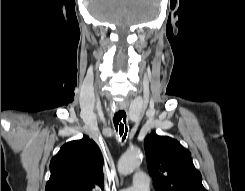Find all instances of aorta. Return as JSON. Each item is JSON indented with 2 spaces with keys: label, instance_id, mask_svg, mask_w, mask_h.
Wrapping results in <instances>:
<instances>
[{
  "label": "aorta",
  "instance_id": "aorta-1",
  "mask_svg": "<svg viewBox=\"0 0 245 191\" xmlns=\"http://www.w3.org/2000/svg\"><path fill=\"white\" fill-rule=\"evenodd\" d=\"M141 159L142 151L139 148L128 150L118 161V172L121 175L131 174L140 165Z\"/></svg>",
  "mask_w": 245,
  "mask_h": 191
}]
</instances>
